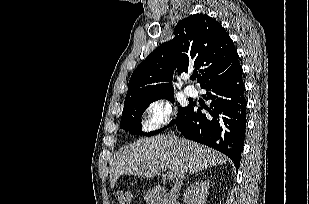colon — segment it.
Returning a JSON list of instances; mask_svg holds the SVG:
<instances>
[{"label": "colon", "mask_w": 309, "mask_h": 204, "mask_svg": "<svg viewBox=\"0 0 309 204\" xmlns=\"http://www.w3.org/2000/svg\"><path fill=\"white\" fill-rule=\"evenodd\" d=\"M114 196L118 204H132L134 200V193L129 189H117Z\"/></svg>", "instance_id": "5ec220e1"}]
</instances>
